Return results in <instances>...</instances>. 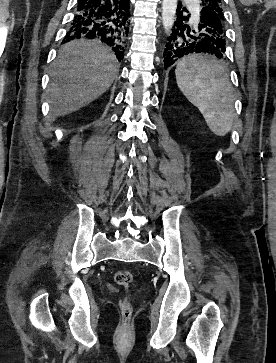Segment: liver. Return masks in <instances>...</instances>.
Returning a JSON list of instances; mask_svg holds the SVG:
<instances>
[{
	"label": "liver",
	"mask_w": 276,
	"mask_h": 363,
	"mask_svg": "<svg viewBox=\"0 0 276 363\" xmlns=\"http://www.w3.org/2000/svg\"><path fill=\"white\" fill-rule=\"evenodd\" d=\"M117 72L115 55L100 42L80 39L65 44L50 70L51 117L75 112L98 98Z\"/></svg>",
	"instance_id": "6515ba94"
}]
</instances>
